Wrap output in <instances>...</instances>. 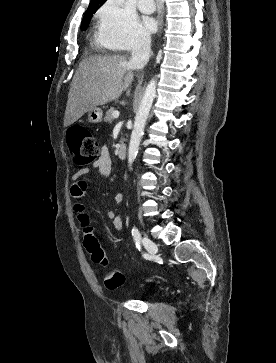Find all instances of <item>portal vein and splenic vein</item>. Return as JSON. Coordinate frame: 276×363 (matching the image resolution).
Listing matches in <instances>:
<instances>
[{
	"label": "portal vein and splenic vein",
	"mask_w": 276,
	"mask_h": 363,
	"mask_svg": "<svg viewBox=\"0 0 276 363\" xmlns=\"http://www.w3.org/2000/svg\"><path fill=\"white\" fill-rule=\"evenodd\" d=\"M112 116H113V118H118L119 117V112L118 111H114L112 113Z\"/></svg>",
	"instance_id": "1"
}]
</instances>
